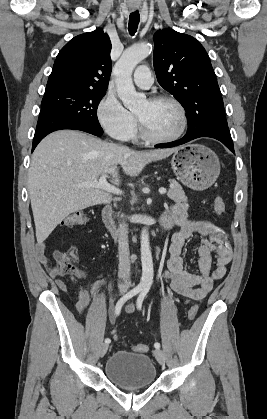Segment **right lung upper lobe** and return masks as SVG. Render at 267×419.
<instances>
[{
  "label": "right lung upper lobe",
  "instance_id": "right-lung-upper-lobe-1",
  "mask_svg": "<svg viewBox=\"0 0 267 419\" xmlns=\"http://www.w3.org/2000/svg\"><path fill=\"white\" fill-rule=\"evenodd\" d=\"M111 41L102 29L71 39L56 57L46 92L106 91L111 75Z\"/></svg>",
  "mask_w": 267,
  "mask_h": 419
}]
</instances>
